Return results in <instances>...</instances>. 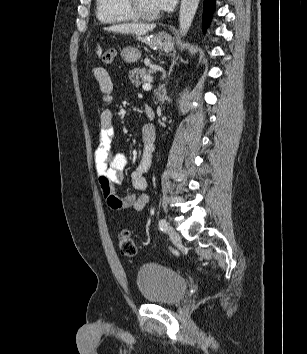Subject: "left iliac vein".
Segmentation results:
<instances>
[{
    "instance_id": "obj_1",
    "label": "left iliac vein",
    "mask_w": 307,
    "mask_h": 354,
    "mask_svg": "<svg viewBox=\"0 0 307 354\" xmlns=\"http://www.w3.org/2000/svg\"><path fill=\"white\" fill-rule=\"evenodd\" d=\"M168 235H169L170 240L173 243H175V244L180 243L181 239H180L179 233L171 226L168 227Z\"/></svg>"
}]
</instances>
